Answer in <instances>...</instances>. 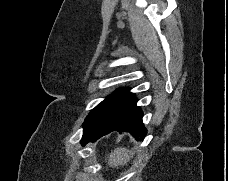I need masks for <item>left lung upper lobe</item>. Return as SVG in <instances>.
<instances>
[{"label": "left lung upper lobe", "instance_id": "obj_1", "mask_svg": "<svg viewBox=\"0 0 228 181\" xmlns=\"http://www.w3.org/2000/svg\"><path fill=\"white\" fill-rule=\"evenodd\" d=\"M129 90L130 88H120L98 104L86 117L84 131L118 124L134 95Z\"/></svg>", "mask_w": 228, "mask_h": 181}]
</instances>
